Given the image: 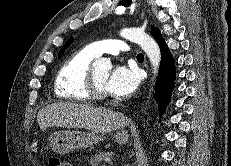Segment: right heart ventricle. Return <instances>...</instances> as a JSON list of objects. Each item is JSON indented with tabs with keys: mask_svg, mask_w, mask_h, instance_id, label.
I'll list each match as a JSON object with an SVG mask.
<instances>
[{
	"mask_svg": "<svg viewBox=\"0 0 231 166\" xmlns=\"http://www.w3.org/2000/svg\"><path fill=\"white\" fill-rule=\"evenodd\" d=\"M95 55L89 46L72 53L60 66L54 81V93L59 99L89 100L87 77Z\"/></svg>",
	"mask_w": 231,
	"mask_h": 166,
	"instance_id": "1",
	"label": "right heart ventricle"
}]
</instances>
